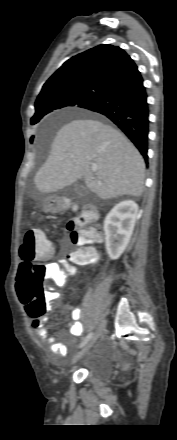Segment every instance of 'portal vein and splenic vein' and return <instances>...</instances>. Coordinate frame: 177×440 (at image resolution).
Segmentation results:
<instances>
[{"label": "portal vein and splenic vein", "mask_w": 177, "mask_h": 440, "mask_svg": "<svg viewBox=\"0 0 177 440\" xmlns=\"http://www.w3.org/2000/svg\"><path fill=\"white\" fill-rule=\"evenodd\" d=\"M92 170L95 172L96 171V167H93ZM99 183H100V181H99Z\"/></svg>", "instance_id": "18ae733b"}]
</instances>
